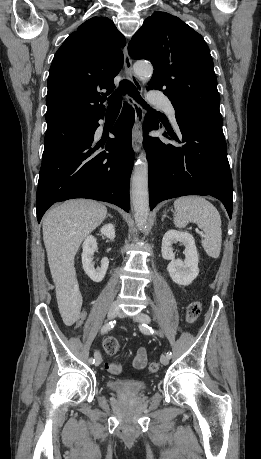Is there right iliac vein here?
<instances>
[{"instance_id":"1","label":"right iliac vein","mask_w":261,"mask_h":459,"mask_svg":"<svg viewBox=\"0 0 261 459\" xmlns=\"http://www.w3.org/2000/svg\"><path fill=\"white\" fill-rule=\"evenodd\" d=\"M120 313V308L117 303H113L108 310V318L113 319ZM102 362V357L99 353H97L95 357V366H99Z\"/></svg>"}]
</instances>
